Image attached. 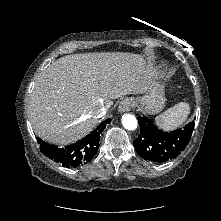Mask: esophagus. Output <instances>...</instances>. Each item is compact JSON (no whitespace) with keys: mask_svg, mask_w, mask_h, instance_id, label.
<instances>
[{"mask_svg":"<svg viewBox=\"0 0 221 221\" xmlns=\"http://www.w3.org/2000/svg\"><path fill=\"white\" fill-rule=\"evenodd\" d=\"M135 105V102L132 98H125L123 99L118 107L119 112H128L130 111Z\"/></svg>","mask_w":221,"mask_h":221,"instance_id":"esophagus-1","label":"esophagus"}]
</instances>
